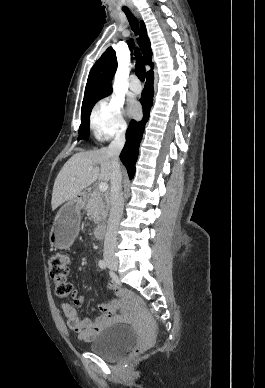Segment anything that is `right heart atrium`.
Here are the masks:
<instances>
[{"mask_svg": "<svg viewBox=\"0 0 265 388\" xmlns=\"http://www.w3.org/2000/svg\"><path fill=\"white\" fill-rule=\"evenodd\" d=\"M123 103L115 97H107L95 106L93 124L97 136L101 139L111 137L124 124Z\"/></svg>", "mask_w": 265, "mask_h": 388, "instance_id": "d8ad5b80", "label": "right heart atrium"}]
</instances>
